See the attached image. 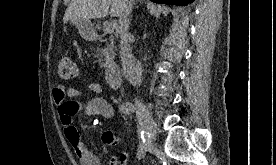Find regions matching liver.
<instances>
[{"label": "liver", "mask_w": 276, "mask_h": 165, "mask_svg": "<svg viewBox=\"0 0 276 165\" xmlns=\"http://www.w3.org/2000/svg\"><path fill=\"white\" fill-rule=\"evenodd\" d=\"M124 0H72L63 18L64 23L72 19H100L108 14L119 17ZM110 9V10H109Z\"/></svg>", "instance_id": "liver-1"}]
</instances>
